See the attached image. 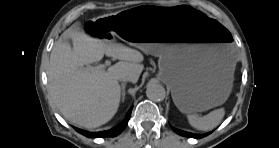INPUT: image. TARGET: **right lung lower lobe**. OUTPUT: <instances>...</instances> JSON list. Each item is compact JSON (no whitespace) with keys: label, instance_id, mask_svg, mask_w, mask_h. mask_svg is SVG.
Here are the masks:
<instances>
[{"label":"right lung lower lobe","instance_id":"right-lung-lower-lobe-1","mask_svg":"<svg viewBox=\"0 0 279 148\" xmlns=\"http://www.w3.org/2000/svg\"><path fill=\"white\" fill-rule=\"evenodd\" d=\"M130 115H131V111H130V113L126 116V118H125L119 125H117V126L114 127L113 129L108 130V131L88 132V131L81 130V129H77V128H75V129H76L78 132H80L81 134H83L84 136L89 137V138H96V137H115V136H117L118 134H120V133L125 129V127H126L127 124H128V121H129V119H130Z\"/></svg>","mask_w":279,"mask_h":148}]
</instances>
